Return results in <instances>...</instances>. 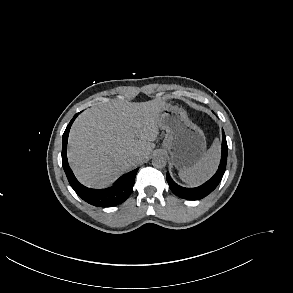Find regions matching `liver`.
I'll return each mask as SVG.
<instances>
[{"label":"liver","mask_w":293,"mask_h":293,"mask_svg":"<svg viewBox=\"0 0 293 293\" xmlns=\"http://www.w3.org/2000/svg\"><path fill=\"white\" fill-rule=\"evenodd\" d=\"M165 107L162 99L114 101L81 113L68 140V160L78 180L102 188L147 159L155 147L159 115ZM132 156H138V161L131 162Z\"/></svg>","instance_id":"obj_1"}]
</instances>
